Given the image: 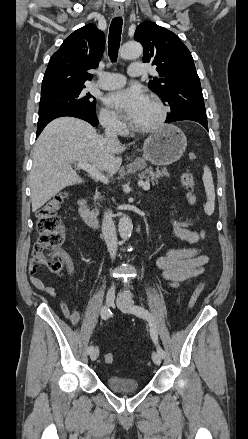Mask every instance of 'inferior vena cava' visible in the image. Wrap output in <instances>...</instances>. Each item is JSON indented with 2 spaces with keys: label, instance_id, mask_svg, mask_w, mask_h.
<instances>
[{
  "label": "inferior vena cava",
  "instance_id": "inferior-vena-cava-1",
  "mask_svg": "<svg viewBox=\"0 0 248 439\" xmlns=\"http://www.w3.org/2000/svg\"><path fill=\"white\" fill-rule=\"evenodd\" d=\"M115 123L116 121L114 118H107L105 120V138L108 140L118 141ZM102 235L107 245L108 252L111 258L114 259L117 253V235L110 210L104 213Z\"/></svg>",
  "mask_w": 248,
  "mask_h": 439
}]
</instances>
